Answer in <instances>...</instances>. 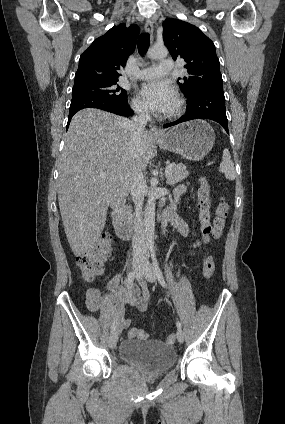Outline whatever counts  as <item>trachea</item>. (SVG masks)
Returning <instances> with one entry per match:
<instances>
[{"mask_svg": "<svg viewBox=\"0 0 285 424\" xmlns=\"http://www.w3.org/2000/svg\"><path fill=\"white\" fill-rule=\"evenodd\" d=\"M149 43H150L149 34L148 33H142L139 36V39H138V51H139V54L141 56H143L146 53V51L149 47Z\"/></svg>", "mask_w": 285, "mask_h": 424, "instance_id": "1", "label": "trachea"}]
</instances>
